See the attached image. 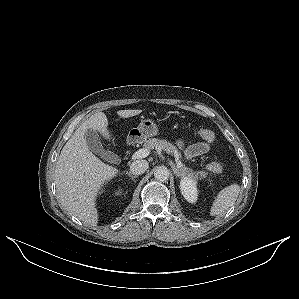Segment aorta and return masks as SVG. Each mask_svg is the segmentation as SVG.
Here are the masks:
<instances>
[{
  "instance_id": "aorta-1",
  "label": "aorta",
  "mask_w": 299,
  "mask_h": 299,
  "mask_svg": "<svg viewBox=\"0 0 299 299\" xmlns=\"http://www.w3.org/2000/svg\"><path fill=\"white\" fill-rule=\"evenodd\" d=\"M154 177L159 182H165L170 177V172L165 166H159L154 172Z\"/></svg>"
}]
</instances>
